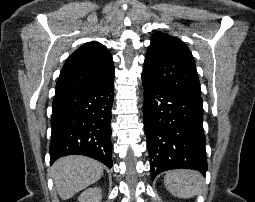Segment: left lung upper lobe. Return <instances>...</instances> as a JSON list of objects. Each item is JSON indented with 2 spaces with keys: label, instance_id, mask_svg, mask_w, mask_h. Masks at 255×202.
Segmentation results:
<instances>
[{
  "label": "left lung upper lobe",
  "instance_id": "left-lung-upper-lobe-1",
  "mask_svg": "<svg viewBox=\"0 0 255 202\" xmlns=\"http://www.w3.org/2000/svg\"><path fill=\"white\" fill-rule=\"evenodd\" d=\"M142 76L162 88L200 96L194 58L176 37L161 32L153 35Z\"/></svg>",
  "mask_w": 255,
  "mask_h": 202
}]
</instances>
